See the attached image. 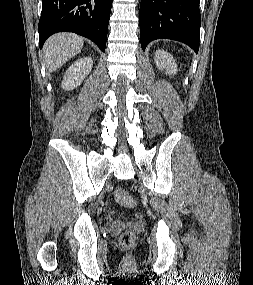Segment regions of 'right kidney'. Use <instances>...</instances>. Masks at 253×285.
I'll return each instance as SVG.
<instances>
[{
	"mask_svg": "<svg viewBox=\"0 0 253 285\" xmlns=\"http://www.w3.org/2000/svg\"><path fill=\"white\" fill-rule=\"evenodd\" d=\"M92 65L91 57H83L75 61L64 75L62 88L67 91L77 88L91 72Z\"/></svg>",
	"mask_w": 253,
	"mask_h": 285,
	"instance_id": "ca27d5eb",
	"label": "right kidney"
}]
</instances>
